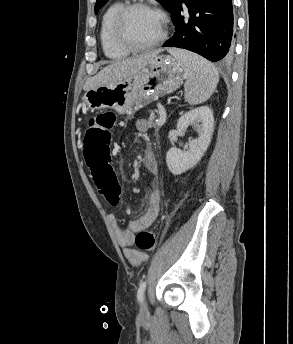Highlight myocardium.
Returning <instances> with one entry per match:
<instances>
[{
	"label": "myocardium",
	"mask_w": 293,
	"mask_h": 344,
	"mask_svg": "<svg viewBox=\"0 0 293 344\" xmlns=\"http://www.w3.org/2000/svg\"><path fill=\"white\" fill-rule=\"evenodd\" d=\"M136 9H143L150 11L154 14H156L162 25V30L160 35L155 38L154 40L143 43V44H138L135 42H132L127 35L125 34L124 31V24L125 20L130 12ZM112 33H113V38L115 42L122 48L128 50V51H133V52H141L145 50H149L151 48H154L161 43H163L167 36H168V18L165 15V13L160 10L159 8L143 1V0H135L131 3L123 5L118 12L116 13L114 20H113V25H112Z\"/></svg>",
	"instance_id": "1"
}]
</instances>
